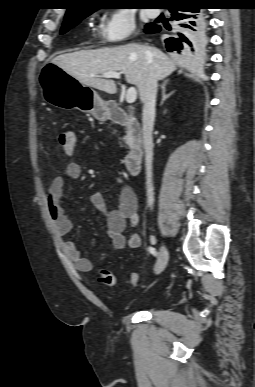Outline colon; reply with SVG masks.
<instances>
[{
    "label": "colon",
    "instance_id": "colon-1",
    "mask_svg": "<svg viewBox=\"0 0 255 387\" xmlns=\"http://www.w3.org/2000/svg\"><path fill=\"white\" fill-rule=\"evenodd\" d=\"M58 141H59L60 148L65 154L70 155L75 150L76 136L74 132L70 130H62L59 133ZM99 281L108 287H115L117 285V280L115 275L107 269L100 270ZM128 281L132 286H136L139 282V275L135 272L130 273L128 277Z\"/></svg>",
    "mask_w": 255,
    "mask_h": 387
}]
</instances>
